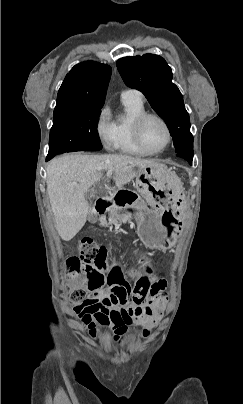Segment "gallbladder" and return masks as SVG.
<instances>
[{
  "label": "gallbladder",
  "mask_w": 243,
  "mask_h": 404,
  "mask_svg": "<svg viewBox=\"0 0 243 404\" xmlns=\"http://www.w3.org/2000/svg\"><path fill=\"white\" fill-rule=\"evenodd\" d=\"M89 196H90L91 198H90L89 201L87 202V205H88L89 207H92V206L94 205V202L92 201V198H94L93 192H91V194H90ZM89 217L92 218V219H94L95 214H94V213H90V214H89ZM92 222H93V221H92Z\"/></svg>",
  "instance_id": "obj_1"
}]
</instances>
